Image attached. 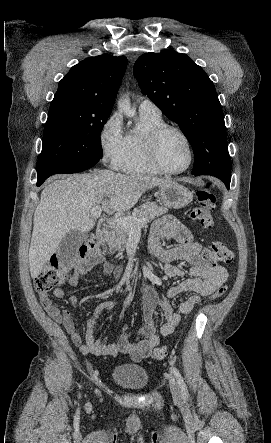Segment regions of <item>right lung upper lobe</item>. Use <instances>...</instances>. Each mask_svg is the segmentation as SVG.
Wrapping results in <instances>:
<instances>
[{
    "label": "right lung upper lobe",
    "instance_id": "obj_1",
    "mask_svg": "<svg viewBox=\"0 0 271 443\" xmlns=\"http://www.w3.org/2000/svg\"><path fill=\"white\" fill-rule=\"evenodd\" d=\"M127 58L109 54L87 58L59 82L51 105L70 103L91 115H110Z\"/></svg>",
    "mask_w": 271,
    "mask_h": 443
}]
</instances>
